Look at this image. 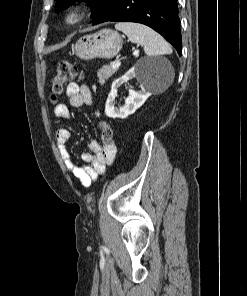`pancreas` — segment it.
Instances as JSON below:
<instances>
[{
  "label": "pancreas",
  "instance_id": "pancreas-1",
  "mask_svg": "<svg viewBox=\"0 0 247 296\" xmlns=\"http://www.w3.org/2000/svg\"><path fill=\"white\" fill-rule=\"evenodd\" d=\"M118 71V68L113 69L111 65H104L97 72L100 85H104L105 81L108 80L115 72Z\"/></svg>",
  "mask_w": 247,
  "mask_h": 296
}]
</instances>
